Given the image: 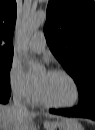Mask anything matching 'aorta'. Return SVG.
<instances>
[{"label": "aorta", "mask_w": 95, "mask_h": 130, "mask_svg": "<svg viewBox=\"0 0 95 130\" xmlns=\"http://www.w3.org/2000/svg\"><path fill=\"white\" fill-rule=\"evenodd\" d=\"M46 21V12H38L36 14L27 15L21 24L20 27V41H21V49L24 55H27L28 52V40L31 35ZM36 67L30 65L29 66V73H34L36 71Z\"/></svg>", "instance_id": "1"}]
</instances>
